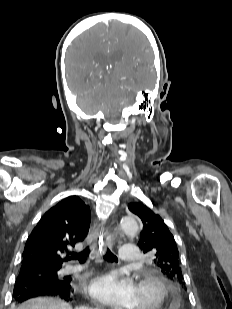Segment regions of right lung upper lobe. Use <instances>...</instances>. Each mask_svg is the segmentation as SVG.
I'll return each mask as SVG.
<instances>
[{"instance_id": "obj_1", "label": "right lung upper lobe", "mask_w": 232, "mask_h": 309, "mask_svg": "<svg viewBox=\"0 0 232 309\" xmlns=\"http://www.w3.org/2000/svg\"><path fill=\"white\" fill-rule=\"evenodd\" d=\"M90 226V208L70 196L49 209L29 235L22 264H30L35 274L59 270L70 259V248L82 242Z\"/></svg>"}]
</instances>
